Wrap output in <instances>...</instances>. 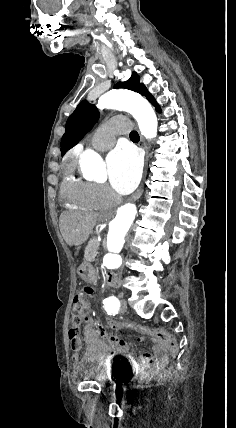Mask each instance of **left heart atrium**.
I'll return each mask as SVG.
<instances>
[{"label": "left heart atrium", "instance_id": "left-heart-atrium-1", "mask_svg": "<svg viewBox=\"0 0 236 428\" xmlns=\"http://www.w3.org/2000/svg\"><path fill=\"white\" fill-rule=\"evenodd\" d=\"M107 171L112 188L121 194L133 191L142 174V161L131 146L115 148L107 158Z\"/></svg>", "mask_w": 236, "mask_h": 428}]
</instances>
